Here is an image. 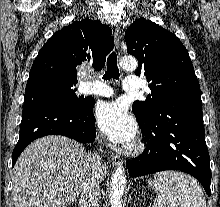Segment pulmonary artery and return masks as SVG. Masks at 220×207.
I'll return each instance as SVG.
<instances>
[{
  "instance_id": "obj_1",
  "label": "pulmonary artery",
  "mask_w": 220,
  "mask_h": 207,
  "mask_svg": "<svg viewBox=\"0 0 220 207\" xmlns=\"http://www.w3.org/2000/svg\"><path fill=\"white\" fill-rule=\"evenodd\" d=\"M141 88L139 79L136 76H128L123 82V89L125 91H136ZM85 93L98 95L102 97H111L113 96V90L106 84L101 82H95L86 86Z\"/></svg>"
}]
</instances>
